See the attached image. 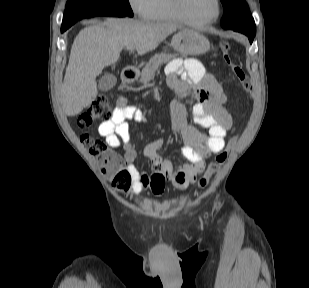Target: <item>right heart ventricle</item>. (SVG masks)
Instances as JSON below:
<instances>
[{
	"label": "right heart ventricle",
	"instance_id": "obj_1",
	"mask_svg": "<svg viewBox=\"0 0 309 288\" xmlns=\"http://www.w3.org/2000/svg\"><path fill=\"white\" fill-rule=\"evenodd\" d=\"M146 18L155 22L180 23L173 11L171 0H151Z\"/></svg>",
	"mask_w": 309,
	"mask_h": 288
}]
</instances>
